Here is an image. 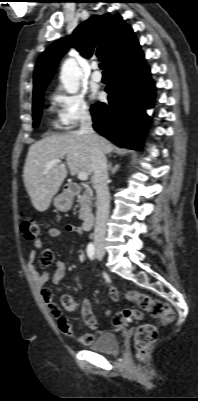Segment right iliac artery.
<instances>
[{"label":"right iliac artery","mask_w":198,"mask_h":401,"mask_svg":"<svg viewBox=\"0 0 198 401\" xmlns=\"http://www.w3.org/2000/svg\"><path fill=\"white\" fill-rule=\"evenodd\" d=\"M87 254L89 256L90 259H94L95 256V246L94 244L90 243L87 246Z\"/></svg>","instance_id":"1"}]
</instances>
